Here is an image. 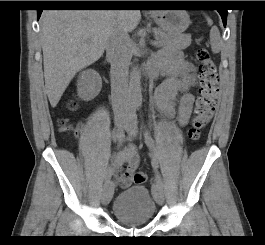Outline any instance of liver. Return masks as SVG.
<instances>
[{
  "label": "liver",
  "instance_id": "obj_1",
  "mask_svg": "<svg viewBox=\"0 0 265 245\" xmlns=\"http://www.w3.org/2000/svg\"><path fill=\"white\" fill-rule=\"evenodd\" d=\"M139 10H46L40 18L45 88L51 106L60 101L81 69L104 53L113 28L131 32L139 24Z\"/></svg>",
  "mask_w": 265,
  "mask_h": 245
}]
</instances>
